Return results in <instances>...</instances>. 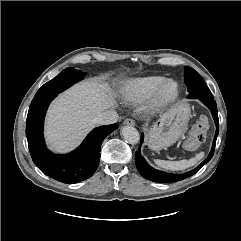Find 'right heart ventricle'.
I'll use <instances>...</instances> for the list:
<instances>
[{"label": "right heart ventricle", "instance_id": "obj_1", "mask_svg": "<svg viewBox=\"0 0 241 241\" xmlns=\"http://www.w3.org/2000/svg\"><path fill=\"white\" fill-rule=\"evenodd\" d=\"M165 80L163 76L151 75L132 79L121 88V98L126 103H142L150 98L158 85Z\"/></svg>", "mask_w": 241, "mask_h": 241}]
</instances>
